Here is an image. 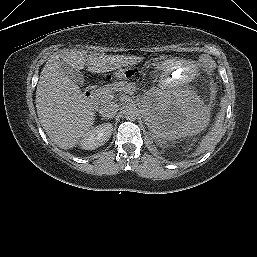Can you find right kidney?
Masks as SVG:
<instances>
[{
	"mask_svg": "<svg viewBox=\"0 0 257 257\" xmlns=\"http://www.w3.org/2000/svg\"><path fill=\"white\" fill-rule=\"evenodd\" d=\"M111 123H104L90 129L81 139L80 146L86 150H94L104 145L112 135Z\"/></svg>",
	"mask_w": 257,
	"mask_h": 257,
	"instance_id": "right-kidney-1",
	"label": "right kidney"
}]
</instances>
